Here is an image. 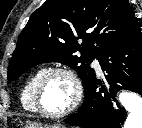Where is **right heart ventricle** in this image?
<instances>
[{"label":"right heart ventricle","instance_id":"1","mask_svg":"<svg viewBox=\"0 0 142 128\" xmlns=\"http://www.w3.org/2000/svg\"><path fill=\"white\" fill-rule=\"evenodd\" d=\"M45 70L46 68L44 67H40L37 70H35L22 87L20 94V101L22 107L26 111L36 112V107L34 102L35 85L37 80Z\"/></svg>","mask_w":142,"mask_h":128}]
</instances>
